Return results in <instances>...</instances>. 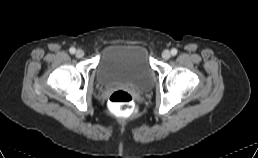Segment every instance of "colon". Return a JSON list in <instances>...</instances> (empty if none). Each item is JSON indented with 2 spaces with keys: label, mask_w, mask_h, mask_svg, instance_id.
I'll return each mask as SVG.
<instances>
[{
  "label": "colon",
  "mask_w": 258,
  "mask_h": 158,
  "mask_svg": "<svg viewBox=\"0 0 258 158\" xmlns=\"http://www.w3.org/2000/svg\"><path fill=\"white\" fill-rule=\"evenodd\" d=\"M134 98L132 94L125 90L114 91L108 101L111 111L120 116H128L134 109Z\"/></svg>",
  "instance_id": "obj_1"
}]
</instances>
